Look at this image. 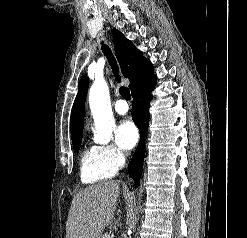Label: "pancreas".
<instances>
[{
  "label": "pancreas",
  "mask_w": 247,
  "mask_h": 238,
  "mask_svg": "<svg viewBox=\"0 0 247 238\" xmlns=\"http://www.w3.org/2000/svg\"><path fill=\"white\" fill-rule=\"evenodd\" d=\"M101 238H110V236L107 233H105L101 236Z\"/></svg>",
  "instance_id": "cf45deb5"
}]
</instances>
